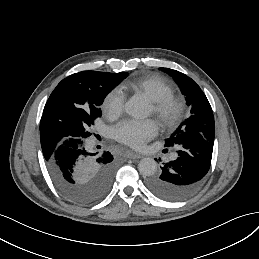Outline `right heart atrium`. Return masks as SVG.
Listing matches in <instances>:
<instances>
[{
	"label": "right heart atrium",
	"mask_w": 259,
	"mask_h": 259,
	"mask_svg": "<svg viewBox=\"0 0 259 259\" xmlns=\"http://www.w3.org/2000/svg\"><path fill=\"white\" fill-rule=\"evenodd\" d=\"M105 106L107 111L112 115H118L123 112L125 101L117 89L112 90L106 97Z\"/></svg>",
	"instance_id": "1"
}]
</instances>
